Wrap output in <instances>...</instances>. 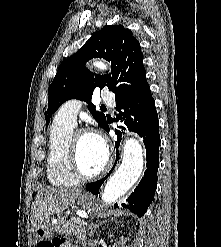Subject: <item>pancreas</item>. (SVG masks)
I'll list each match as a JSON object with an SVG mask.
<instances>
[{"label": "pancreas", "instance_id": "1", "mask_svg": "<svg viewBox=\"0 0 221 247\" xmlns=\"http://www.w3.org/2000/svg\"><path fill=\"white\" fill-rule=\"evenodd\" d=\"M55 232L63 236H76L82 246L87 245L84 225L79 217L59 219L54 226Z\"/></svg>", "mask_w": 221, "mask_h": 247}]
</instances>
